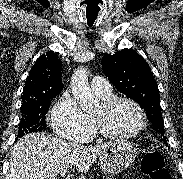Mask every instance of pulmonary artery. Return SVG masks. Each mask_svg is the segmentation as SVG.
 I'll return each instance as SVG.
<instances>
[{
  "mask_svg": "<svg viewBox=\"0 0 183 179\" xmlns=\"http://www.w3.org/2000/svg\"><path fill=\"white\" fill-rule=\"evenodd\" d=\"M91 88L94 93L99 95H108L111 94L112 91L110 83L100 76H96L92 79Z\"/></svg>",
  "mask_w": 183,
  "mask_h": 179,
  "instance_id": "e3ab8cb5",
  "label": "pulmonary artery"
}]
</instances>
